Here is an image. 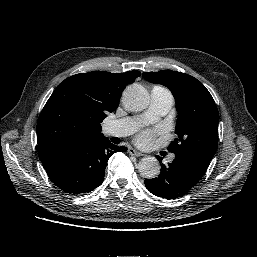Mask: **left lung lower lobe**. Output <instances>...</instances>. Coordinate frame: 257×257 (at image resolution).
Wrapping results in <instances>:
<instances>
[{
    "label": "left lung lower lobe",
    "mask_w": 257,
    "mask_h": 257,
    "mask_svg": "<svg viewBox=\"0 0 257 257\" xmlns=\"http://www.w3.org/2000/svg\"><path fill=\"white\" fill-rule=\"evenodd\" d=\"M176 158L168 165L162 164L159 177L146 179V188L156 196L175 199L186 194L202 178L211 161L208 157L192 152H174ZM159 161L161 157L156 156Z\"/></svg>",
    "instance_id": "obj_1"
}]
</instances>
